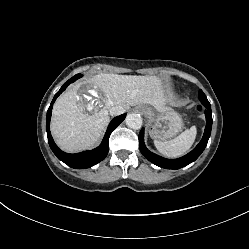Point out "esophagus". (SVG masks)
Masks as SVG:
<instances>
[{
  "label": "esophagus",
  "mask_w": 249,
  "mask_h": 249,
  "mask_svg": "<svg viewBox=\"0 0 249 249\" xmlns=\"http://www.w3.org/2000/svg\"><path fill=\"white\" fill-rule=\"evenodd\" d=\"M144 110L141 108V107H139V109H138V112H143Z\"/></svg>",
  "instance_id": "esophagus-1"
}]
</instances>
